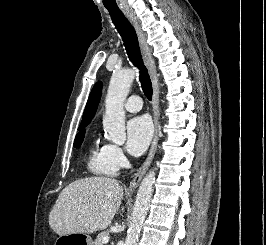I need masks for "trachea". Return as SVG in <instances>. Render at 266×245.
<instances>
[{"label":"trachea","instance_id":"1","mask_svg":"<svg viewBox=\"0 0 266 245\" xmlns=\"http://www.w3.org/2000/svg\"><path fill=\"white\" fill-rule=\"evenodd\" d=\"M109 13L115 27L122 37L129 59L136 67L140 69V81L142 90L148 100H151L153 93L152 82L149 78L145 66L143 65L136 31L132 27L131 23H129L128 19L123 15V13Z\"/></svg>","mask_w":266,"mask_h":245}]
</instances>
